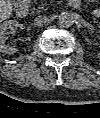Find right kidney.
Listing matches in <instances>:
<instances>
[{
	"instance_id": "ca27d5eb",
	"label": "right kidney",
	"mask_w": 100,
	"mask_h": 118,
	"mask_svg": "<svg viewBox=\"0 0 100 118\" xmlns=\"http://www.w3.org/2000/svg\"><path fill=\"white\" fill-rule=\"evenodd\" d=\"M17 27H19V23L16 20H8L0 24V51L2 53L14 54L17 52L16 46H9L6 44L9 31H15Z\"/></svg>"
}]
</instances>
